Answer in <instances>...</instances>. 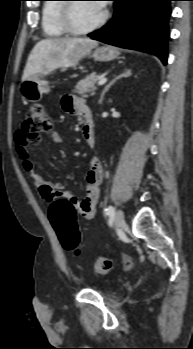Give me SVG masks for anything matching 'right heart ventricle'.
I'll return each instance as SVG.
<instances>
[{"instance_id":"obj_1","label":"right heart ventricle","mask_w":193,"mask_h":349,"mask_svg":"<svg viewBox=\"0 0 193 349\" xmlns=\"http://www.w3.org/2000/svg\"><path fill=\"white\" fill-rule=\"evenodd\" d=\"M61 0H48L43 5L41 13V28L45 38L57 39L66 35L59 23Z\"/></svg>"}]
</instances>
